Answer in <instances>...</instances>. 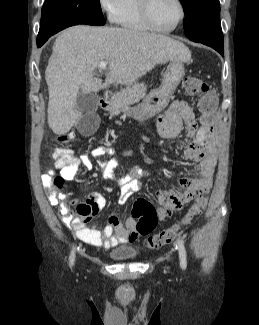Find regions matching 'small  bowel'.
<instances>
[{
    "mask_svg": "<svg viewBox=\"0 0 259 325\" xmlns=\"http://www.w3.org/2000/svg\"><path fill=\"white\" fill-rule=\"evenodd\" d=\"M200 108V105H199ZM202 113V110L200 108ZM186 126L190 140L186 144L184 157L198 163L197 171L192 178H181L179 185L184 189L183 193L175 191H160L155 194V199L159 203L157 210L158 219L164 220L174 211L182 208L194 197L201 193H207L212 185V176L216 166V155L212 145V138L209 131L202 126L198 129L195 120V109L192 105L184 101H174L171 106L157 118V130L159 134L168 139L176 138ZM111 148L100 145L93 148L89 154L75 156L68 151L66 155L57 157L53 154V167L42 176V181L46 183L58 169L61 176L66 180H73L82 166L90 168L92 166L91 157L101 158L106 155H113ZM98 165L103 178L112 181L119 188L118 203L124 204L135 192L141 188L140 179L147 175V171L139 165H134L131 171L121 178H116L114 172L120 165V160H99ZM71 205H77L76 212L70 209ZM52 205L59 204V214L64 223L70 228L81 241L100 248L115 247L120 243H134L138 239L135 229V219L128 218L122 221L118 217L111 216L106 226L94 225L86 226L91 217L98 214L107 205L104 195L99 192H91L85 202L69 200L65 194H61L59 201H51Z\"/></svg>",
    "mask_w": 259,
    "mask_h": 325,
    "instance_id": "c3829d8e",
    "label": "small bowel"
}]
</instances>
